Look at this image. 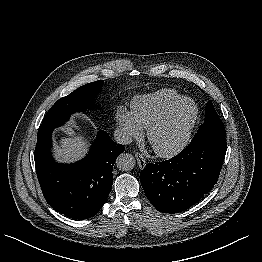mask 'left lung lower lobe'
I'll list each match as a JSON object with an SVG mask.
<instances>
[{
    "mask_svg": "<svg viewBox=\"0 0 262 262\" xmlns=\"http://www.w3.org/2000/svg\"><path fill=\"white\" fill-rule=\"evenodd\" d=\"M225 154V138H208L167 161L148 163L140 173L146 197L163 213L190 208L216 184Z\"/></svg>",
    "mask_w": 262,
    "mask_h": 262,
    "instance_id": "left-lung-lower-lobe-1",
    "label": "left lung lower lobe"
}]
</instances>
